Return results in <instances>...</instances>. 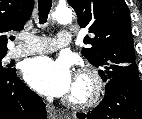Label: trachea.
<instances>
[{
	"instance_id": "1",
	"label": "trachea",
	"mask_w": 142,
	"mask_h": 119,
	"mask_svg": "<svg viewBox=\"0 0 142 119\" xmlns=\"http://www.w3.org/2000/svg\"><path fill=\"white\" fill-rule=\"evenodd\" d=\"M51 6H52L51 0H38L40 24L46 23Z\"/></svg>"
}]
</instances>
